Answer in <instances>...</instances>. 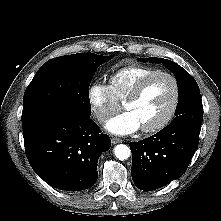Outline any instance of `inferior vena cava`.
I'll return each mask as SVG.
<instances>
[{"mask_svg": "<svg viewBox=\"0 0 221 221\" xmlns=\"http://www.w3.org/2000/svg\"><path fill=\"white\" fill-rule=\"evenodd\" d=\"M97 118L100 121H104L105 119H107V116L105 114H97Z\"/></svg>", "mask_w": 221, "mask_h": 221, "instance_id": "obj_1", "label": "inferior vena cava"}]
</instances>
